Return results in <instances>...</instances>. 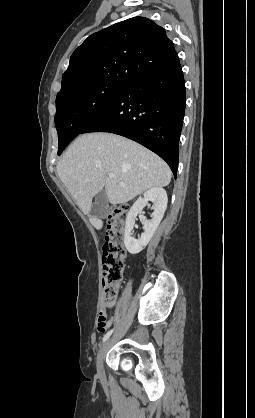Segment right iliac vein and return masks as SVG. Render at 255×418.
I'll return each instance as SVG.
<instances>
[{
  "mask_svg": "<svg viewBox=\"0 0 255 418\" xmlns=\"http://www.w3.org/2000/svg\"><path fill=\"white\" fill-rule=\"evenodd\" d=\"M109 345V340L105 341V343L101 346L98 355H97V371L99 373L100 376H103L104 374V367H103V359H104V355L107 351Z\"/></svg>",
  "mask_w": 255,
  "mask_h": 418,
  "instance_id": "right-iliac-vein-1",
  "label": "right iliac vein"
}]
</instances>
